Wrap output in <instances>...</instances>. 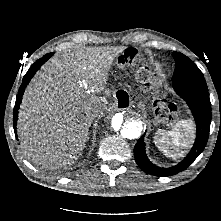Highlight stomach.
Instances as JSON below:
<instances>
[{
    "label": "stomach",
    "mask_w": 221,
    "mask_h": 221,
    "mask_svg": "<svg viewBox=\"0 0 221 221\" xmlns=\"http://www.w3.org/2000/svg\"><path fill=\"white\" fill-rule=\"evenodd\" d=\"M139 78L145 90V98L150 102L154 114V123L158 124L175 119L179 113L175 99L169 95L165 96L161 92L162 83L155 71L149 67L143 68Z\"/></svg>",
    "instance_id": "stomach-1"
}]
</instances>
